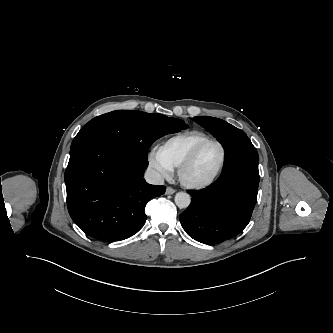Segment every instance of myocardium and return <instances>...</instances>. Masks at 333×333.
Wrapping results in <instances>:
<instances>
[{"mask_svg":"<svg viewBox=\"0 0 333 333\" xmlns=\"http://www.w3.org/2000/svg\"><path fill=\"white\" fill-rule=\"evenodd\" d=\"M216 144L221 151V157H220V161L217 165V167L215 168V170L213 171V173L206 179L204 180H200V181H193L190 180L187 177V171L190 168V166L194 163L198 153L200 152V150L207 144ZM225 160H226V150L224 145L217 139L215 138H207L201 142H199L192 150L191 152L188 154V156L184 159V161L181 163V165L178 167V177L179 180L181 182V184L188 188V189H202L205 188L207 186H209L211 183H213L215 181V179L219 176V174L221 173L224 164H225Z\"/></svg>","mask_w":333,"mask_h":333,"instance_id":"myocardium-1","label":"myocardium"}]
</instances>
